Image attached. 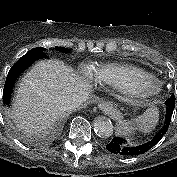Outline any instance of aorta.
Here are the masks:
<instances>
[{
    "mask_svg": "<svg viewBox=\"0 0 177 177\" xmlns=\"http://www.w3.org/2000/svg\"><path fill=\"white\" fill-rule=\"evenodd\" d=\"M95 132L102 137H110L113 134V124L106 117H99L94 122Z\"/></svg>",
    "mask_w": 177,
    "mask_h": 177,
    "instance_id": "aorta-1",
    "label": "aorta"
}]
</instances>
